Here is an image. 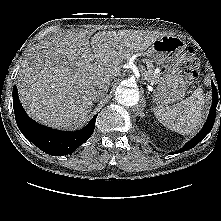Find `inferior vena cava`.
<instances>
[{
  "label": "inferior vena cava",
  "mask_w": 221,
  "mask_h": 221,
  "mask_svg": "<svg viewBox=\"0 0 221 221\" xmlns=\"http://www.w3.org/2000/svg\"><path fill=\"white\" fill-rule=\"evenodd\" d=\"M107 92H108V87L102 86L98 88L97 90H95V92L93 93V99L94 100L101 99L106 95Z\"/></svg>",
  "instance_id": "obj_1"
}]
</instances>
